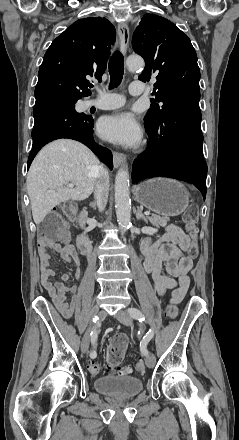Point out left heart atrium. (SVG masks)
<instances>
[{"instance_id":"1","label":"left heart atrium","mask_w":239,"mask_h":440,"mask_svg":"<svg viewBox=\"0 0 239 440\" xmlns=\"http://www.w3.org/2000/svg\"><path fill=\"white\" fill-rule=\"evenodd\" d=\"M102 136L112 142L123 145H136L141 139V128L130 112L112 114L101 122Z\"/></svg>"}]
</instances>
